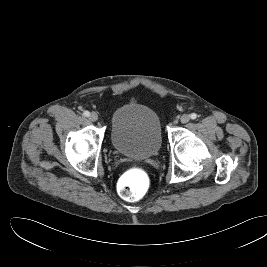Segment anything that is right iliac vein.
Segmentation results:
<instances>
[{
	"mask_svg": "<svg viewBox=\"0 0 267 267\" xmlns=\"http://www.w3.org/2000/svg\"><path fill=\"white\" fill-rule=\"evenodd\" d=\"M89 119L93 122L97 121L98 120V115L96 112H92L90 115H89Z\"/></svg>",
	"mask_w": 267,
	"mask_h": 267,
	"instance_id": "1",
	"label": "right iliac vein"
}]
</instances>
